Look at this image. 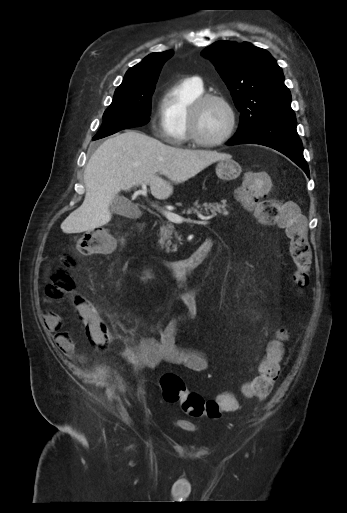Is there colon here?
<instances>
[{"instance_id": "colon-1", "label": "colon", "mask_w": 347, "mask_h": 513, "mask_svg": "<svg viewBox=\"0 0 347 513\" xmlns=\"http://www.w3.org/2000/svg\"><path fill=\"white\" fill-rule=\"evenodd\" d=\"M268 187L269 180L265 174L249 172L238 186L240 201L247 210L253 211L260 223H271L284 230L295 267L293 280L299 289H303L309 283L312 260L306 223L294 204L267 202L263 192ZM114 243V237L108 231L97 228L83 234L78 250L83 254H102L111 251ZM74 263L71 257L62 259L50 275L46 293L54 299L73 296L75 314L80 317L81 325L87 328L90 342L96 347L108 348L110 341L106 325L97 312L95 301L74 296V280L71 275ZM278 336L283 339L286 332L279 330ZM262 351L265 358L257 367L258 375L244 386V393L251 398L263 399L270 393L280 373V361L286 357V348L280 340H266ZM160 387L166 402L179 403L183 412L191 417L219 418L223 413L236 410L238 406L236 398L229 392L220 393L214 399H204L188 391L183 378L172 372L161 375Z\"/></svg>"}]
</instances>
